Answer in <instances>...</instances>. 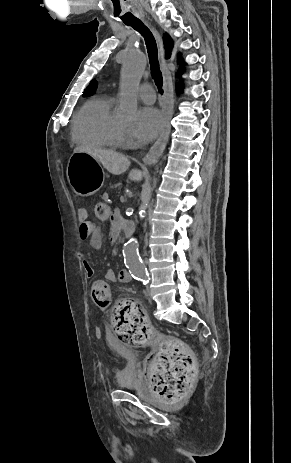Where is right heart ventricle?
<instances>
[{
	"label": "right heart ventricle",
	"instance_id": "right-heart-ventricle-1",
	"mask_svg": "<svg viewBox=\"0 0 291 463\" xmlns=\"http://www.w3.org/2000/svg\"><path fill=\"white\" fill-rule=\"evenodd\" d=\"M112 104V97H99L81 107L72 127V138L77 144L90 148H114L118 145V122L112 115Z\"/></svg>",
	"mask_w": 291,
	"mask_h": 463
}]
</instances>
